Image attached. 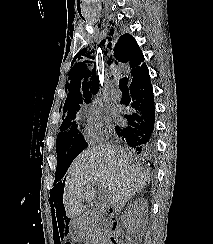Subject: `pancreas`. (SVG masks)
Segmentation results:
<instances>
[{
    "mask_svg": "<svg viewBox=\"0 0 213 244\" xmlns=\"http://www.w3.org/2000/svg\"><path fill=\"white\" fill-rule=\"evenodd\" d=\"M102 229L98 228L95 223H91L88 228L89 237H94L96 240L101 238ZM99 237V238H98Z\"/></svg>",
    "mask_w": 213,
    "mask_h": 244,
    "instance_id": "1",
    "label": "pancreas"
}]
</instances>
